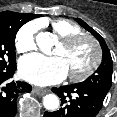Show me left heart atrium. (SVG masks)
Instances as JSON below:
<instances>
[{
  "label": "left heart atrium",
  "mask_w": 117,
  "mask_h": 117,
  "mask_svg": "<svg viewBox=\"0 0 117 117\" xmlns=\"http://www.w3.org/2000/svg\"><path fill=\"white\" fill-rule=\"evenodd\" d=\"M21 76L36 85L47 86L61 82L68 74L62 58L31 54L23 57L19 63Z\"/></svg>",
  "instance_id": "39dd6f15"
}]
</instances>
